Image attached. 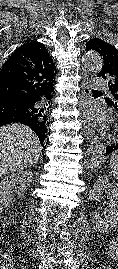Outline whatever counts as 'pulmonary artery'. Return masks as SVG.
I'll return each instance as SVG.
<instances>
[{
    "label": "pulmonary artery",
    "instance_id": "1",
    "mask_svg": "<svg viewBox=\"0 0 118 269\" xmlns=\"http://www.w3.org/2000/svg\"><path fill=\"white\" fill-rule=\"evenodd\" d=\"M108 86L107 82L102 78H97L93 81V87L97 89H105Z\"/></svg>",
    "mask_w": 118,
    "mask_h": 269
}]
</instances>
